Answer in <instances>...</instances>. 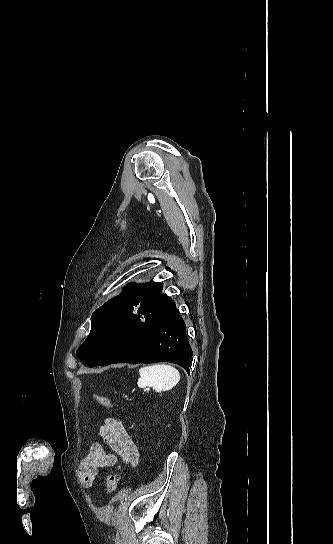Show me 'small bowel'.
<instances>
[{
  "label": "small bowel",
  "mask_w": 333,
  "mask_h": 544,
  "mask_svg": "<svg viewBox=\"0 0 333 544\" xmlns=\"http://www.w3.org/2000/svg\"><path fill=\"white\" fill-rule=\"evenodd\" d=\"M98 434L102 442H95L90 446L78 469V476L84 487L92 486L99 470L114 466L118 457L132 465L138 462V450L119 418H106L100 425ZM105 446L109 451L105 450Z\"/></svg>",
  "instance_id": "c3829d8e"
}]
</instances>
